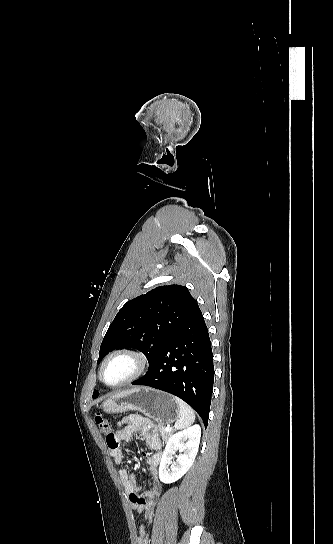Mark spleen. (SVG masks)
I'll use <instances>...</instances> for the list:
<instances>
[{"label": "spleen", "mask_w": 333, "mask_h": 544, "mask_svg": "<svg viewBox=\"0 0 333 544\" xmlns=\"http://www.w3.org/2000/svg\"><path fill=\"white\" fill-rule=\"evenodd\" d=\"M175 401L179 407V415L174 427L180 430L190 426L195 421V414L192 408L182 399L175 396Z\"/></svg>", "instance_id": "3e777b00"}]
</instances>
